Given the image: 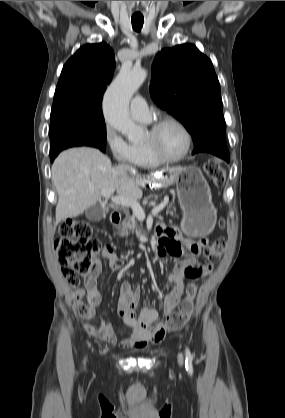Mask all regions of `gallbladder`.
I'll return each instance as SVG.
<instances>
[{
	"mask_svg": "<svg viewBox=\"0 0 285 418\" xmlns=\"http://www.w3.org/2000/svg\"><path fill=\"white\" fill-rule=\"evenodd\" d=\"M85 216L89 221H100L105 218L106 211L100 203H96L85 211Z\"/></svg>",
	"mask_w": 285,
	"mask_h": 418,
	"instance_id": "obj_1",
	"label": "gallbladder"
}]
</instances>
